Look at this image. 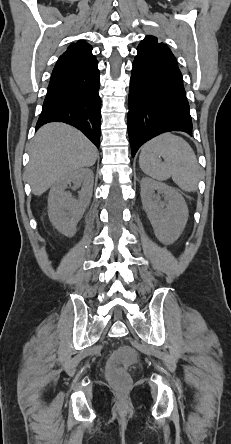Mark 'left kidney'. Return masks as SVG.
Returning <instances> with one entry per match:
<instances>
[{
    "instance_id": "obj_1",
    "label": "left kidney",
    "mask_w": 231,
    "mask_h": 444,
    "mask_svg": "<svg viewBox=\"0 0 231 444\" xmlns=\"http://www.w3.org/2000/svg\"><path fill=\"white\" fill-rule=\"evenodd\" d=\"M141 200L157 239L174 243L188 220V208L182 195L171 186L145 177L141 180ZM157 192V194L155 193ZM160 194L165 201H160Z\"/></svg>"
}]
</instances>
